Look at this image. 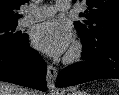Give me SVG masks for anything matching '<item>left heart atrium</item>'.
Returning a JSON list of instances; mask_svg holds the SVG:
<instances>
[{
  "mask_svg": "<svg viewBox=\"0 0 119 95\" xmlns=\"http://www.w3.org/2000/svg\"><path fill=\"white\" fill-rule=\"evenodd\" d=\"M31 39L37 49L53 57L62 56L72 45L70 27L58 20H49L37 25Z\"/></svg>",
  "mask_w": 119,
  "mask_h": 95,
  "instance_id": "obj_1",
  "label": "left heart atrium"
}]
</instances>
